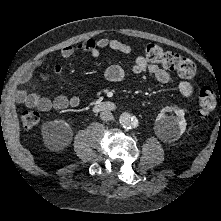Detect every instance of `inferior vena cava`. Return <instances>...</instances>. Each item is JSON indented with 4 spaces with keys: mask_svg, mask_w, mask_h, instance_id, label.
<instances>
[{
    "mask_svg": "<svg viewBox=\"0 0 221 221\" xmlns=\"http://www.w3.org/2000/svg\"><path fill=\"white\" fill-rule=\"evenodd\" d=\"M100 118L104 121H109L113 119V115L110 111L105 110L100 113Z\"/></svg>",
    "mask_w": 221,
    "mask_h": 221,
    "instance_id": "1",
    "label": "inferior vena cava"
}]
</instances>
